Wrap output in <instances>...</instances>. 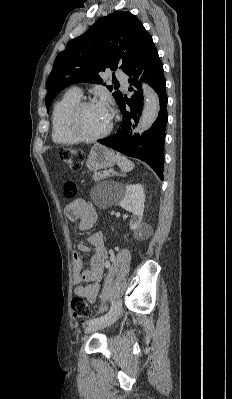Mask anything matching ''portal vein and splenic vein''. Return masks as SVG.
I'll return each mask as SVG.
<instances>
[{
  "mask_svg": "<svg viewBox=\"0 0 232 399\" xmlns=\"http://www.w3.org/2000/svg\"><path fill=\"white\" fill-rule=\"evenodd\" d=\"M103 174H105V176H108L109 172H103Z\"/></svg>",
  "mask_w": 232,
  "mask_h": 399,
  "instance_id": "18ae733b",
  "label": "portal vein and splenic vein"
}]
</instances>
